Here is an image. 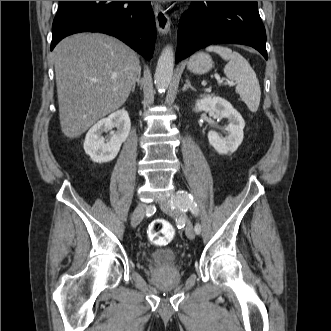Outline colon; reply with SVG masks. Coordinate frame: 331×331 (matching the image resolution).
I'll return each instance as SVG.
<instances>
[{
  "mask_svg": "<svg viewBox=\"0 0 331 331\" xmlns=\"http://www.w3.org/2000/svg\"><path fill=\"white\" fill-rule=\"evenodd\" d=\"M147 234L152 243L166 245L173 239L175 231L167 220L156 219L149 225Z\"/></svg>",
  "mask_w": 331,
  "mask_h": 331,
  "instance_id": "obj_1",
  "label": "colon"
}]
</instances>
